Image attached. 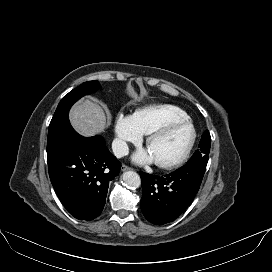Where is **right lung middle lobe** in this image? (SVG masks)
Returning <instances> with one entry per match:
<instances>
[{"label": "right lung middle lobe", "instance_id": "1", "mask_svg": "<svg viewBox=\"0 0 272 272\" xmlns=\"http://www.w3.org/2000/svg\"><path fill=\"white\" fill-rule=\"evenodd\" d=\"M100 87L98 81H88L70 91L60 101L49 125L47 151L57 146L71 128L68 118L70 107L82 96Z\"/></svg>", "mask_w": 272, "mask_h": 272}]
</instances>
